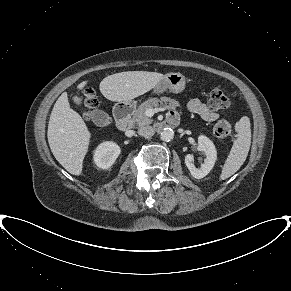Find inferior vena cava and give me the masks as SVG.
Here are the masks:
<instances>
[{"label":"inferior vena cava","instance_id":"obj_1","mask_svg":"<svg viewBox=\"0 0 291 291\" xmlns=\"http://www.w3.org/2000/svg\"><path fill=\"white\" fill-rule=\"evenodd\" d=\"M138 134L143 137H151L154 135V129L152 126H143L138 129Z\"/></svg>","mask_w":291,"mask_h":291}]
</instances>
